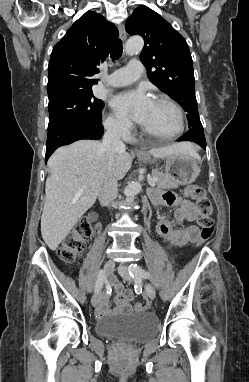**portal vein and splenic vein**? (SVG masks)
Listing matches in <instances>:
<instances>
[{"instance_id":"portal-vein-and-splenic-vein-1","label":"portal vein and splenic vein","mask_w":249,"mask_h":382,"mask_svg":"<svg viewBox=\"0 0 249 382\" xmlns=\"http://www.w3.org/2000/svg\"><path fill=\"white\" fill-rule=\"evenodd\" d=\"M157 181H158V178L153 177V178H151V179L148 181V183H149L150 186L154 187V186H155V183H156Z\"/></svg>"}]
</instances>
